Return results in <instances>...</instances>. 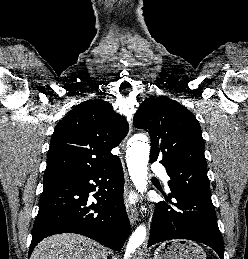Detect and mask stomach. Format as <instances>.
I'll return each mask as SVG.
<instances>
[{"label": "stomach", "instance_id": "0dacf381", "mask_svg": "<svg viewBox=\"0 0 248 259\" xmlns=\"http://www.w3.org/2000/svg\"><path fill=\"white\" fill-rule=\"evenodd\" d=\"M153 259H206V254L197 243L178 239L161 244Z\"/></svg>", "mask_w": 248, "mask_h": 259}]
</instances>
